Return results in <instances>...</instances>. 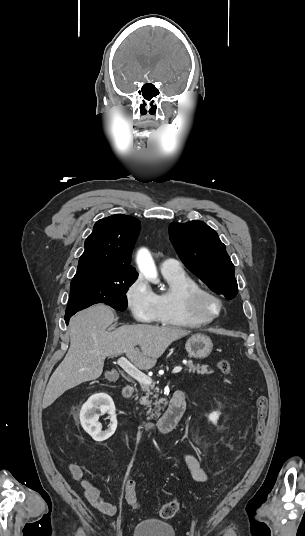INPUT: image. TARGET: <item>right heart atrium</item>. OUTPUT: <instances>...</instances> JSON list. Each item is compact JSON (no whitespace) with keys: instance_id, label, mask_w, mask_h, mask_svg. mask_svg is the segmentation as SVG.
Wrapping results in <instances>:
<instances>
[{"instance_id":"d8ad5b80","label":"right heart atrium","mask_w":305,"mask_h":536,"mask_svg":"<svg viewBox=\"0 0 305 536\" xmlns=\"http://www.w3.org/2000/svg\"><path fill=\"white\" fill-rule=\"evenodd\" d=\"M125 301L132 317L140 323H153L157 320V295L149 284L136 276L125 291Z\"/></svg>"}]
</instances>
